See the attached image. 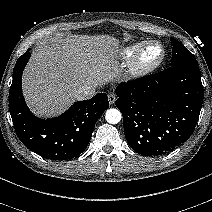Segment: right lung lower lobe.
<instances>
[{"instance_id":"right-lung-lower-lobe-1","label":"right lung lower lobe","mask_w":212,"mask_h":212,"mask_svg":"<svg viewBox=\"0 0 212 212\" xmlns=\"http://www.w3.org/2000/svg\"><path fill=\"white\" fill-rule=\"evenodd\" d=\"M29 51L17 60L9 90V109L16 134L28 149L46 159L74 158L86 149L97 120L109 107L107 95L98 93L90 100L78 101L57 118H37L26 106L21 86Z\"/></svg>"}]
</instances>
